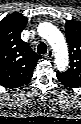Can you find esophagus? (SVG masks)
Segmentation results:
<instances>
[{"label":"esophagus","mask_w":81,"mask_h":124,"mask_svg":"<svg viewBox=\"0 0 81 124\" xmlns=\"http://www.w3.org/2000/svg\"><path fill=\"white\" fill-rule=\"evenodd\" d=\"M53 55H54V53H53L52 49H48V51H47V53H46L45 56H46L48 59H51V58L53 57Z\"/></svg>","instance_id":"obj_1"}]
</instances>
